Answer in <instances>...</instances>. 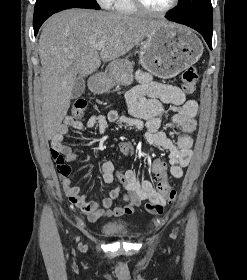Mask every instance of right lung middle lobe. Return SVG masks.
<instances>
[{
  "label": "right lung middle lobe",
  "instance_id": "dd1d6c3e",
  "mask_svg": "<svg viewBox=\"0 0 247 280\" xmlns=\"http://www.w3.org/2000/svg\"><path fill=\"white\" fill-rule=\"evenodd\" d=\"M75 7L100 9L96 0H36L33 24L44 22L57 11Z\"/></svg>",
  "mask_w": 247,
  "mask_h": 280
}]
</instances>
